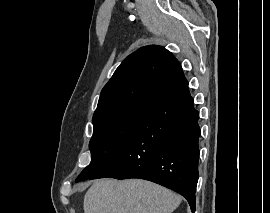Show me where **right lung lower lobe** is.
Segmentation results:
<instances>
[{
  "label": "right lung lower lobe",
  "instance_id": "1",
  "mask_svg": "<svg viewBox=\"0 0 270 213\" xmlns=\"http://www.w3.org/2000/svg\"><path fill=\"white\" fill-rule=\"evenodd\" d=\"M186 86L158 103L99 173L89 179L140 178L184 196L195 212L200 128Z\"/></svg>",
  "mask_w": 270,
  "mask_h": 213
}]
</instances>
